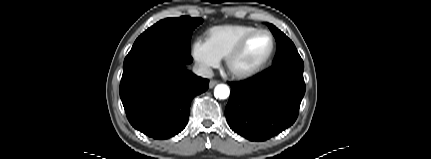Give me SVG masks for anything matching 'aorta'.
<instances>
[{
    "instance_id": "aorta-1",
    "label": "aorta",
    "mask_w": 431,
    "mask_h": 159,
    "mask_svg": "<svg viewBox=\"0 0 431 159\" xmlns=\"http://www.w3.org/2000/svg\"><path fill=\"white\" fill-rule=\"evenodd\" d=\"M214 95L219 99H226L230 95V89L225 84H218L214 89Z\"/></svg>"
}]
</instances>
